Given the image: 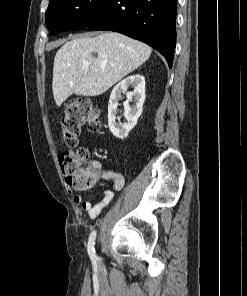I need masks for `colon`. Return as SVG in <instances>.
<instances>
[{
	"instance_id": "obj_1",
	"label": "colon",
	"mask_w": 247,
	"mask_h": 296,
	"mask_svg": "<svg viewBox=\"0 0 247 296\" xmlns=\"http://www.w3.org/2000/svg\"><path fill=\"white\" fill-rule=\"evenodd\" d=\"M85 125L93 132H99L102 128L99 110L89 98L82 97L69 102L62 115L61 132L69 148L76 147ZM90 157L91 150L84 147L67 150L59 155L61 171L68 185L86 189L97 183L100 173Z\"/></svg>"
}]
</instances>
